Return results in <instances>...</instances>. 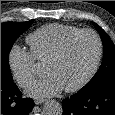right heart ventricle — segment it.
Here are the masks:
<instances>
[{
    "label": "right heart ventricle",
    "mask_w": 115,
    "mask_h": 115,
    "mask_svg": "<svg viewBox=\"0 0 115 115\" xmlns=\"http://www.w3.org/2000/svg\"><path fill=\"white\" fill-rule=\"evenodd\" d=\"M80 30L75 26L58 23L44 25L28 35L30 52L35 60L45 63L67 37Z\"/></svg>",
    "instance_id": "1"
}]
</instances>
